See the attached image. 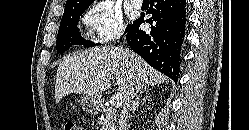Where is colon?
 <instances>
[{
    "mask_svg": "<svg viewBox=\"0 0 249 130\" xmlns=\"http://www.w3.org/2000/svg\"><path fill=\"white\" fill-rule=\"evenodd\" d=\"M63 130H81L73 121H67L64 126Z\"/></svg>",
    "mask_w": 249,
    "mask_h": 130,
    "instance_id": "colon-1",
    "label": "colon"
}]
</instances>
